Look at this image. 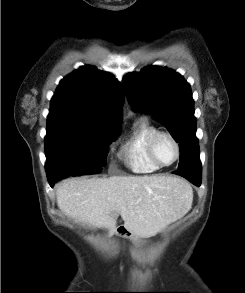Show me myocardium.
<instances>
[{
	"label": "myocardium",
	"mask_w": 245,
	"mask_h": 293,
	"mask_svg": "<svg viewBox=\"0 0 245 293\" xmlns=\"http://www.w3.org/2000/svg\"><path fill=\"white\" fill-rule=\"evenodd\" d=\"M162 137L168 138L172 142L174 149H175L174 160L168 164L161 163L156 155V143ZM148 154H149V157L152 160V162L155 163L158 167H170V166L174 165L180 157V144L177 141V139L170 132L158 130L157 132H155L152 135V137L149 141Z\"/></svg>",
	"instance_id": "obj_1"
}]
</instances>
